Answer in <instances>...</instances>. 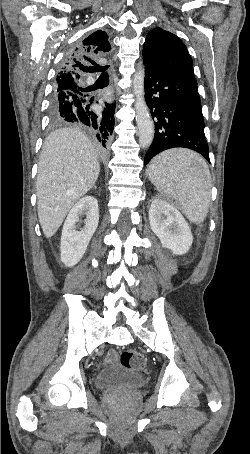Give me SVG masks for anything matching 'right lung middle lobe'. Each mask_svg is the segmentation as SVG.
Here are the masks:
<instances>
[{"mask_svg":"<svg viewBox=\"0 0 250 454\" xmlns=\"http://www.w3.org/2000/svg\"><path fill=\"white\" fill-rule=\"evenodd\" d=\"M81 91H82V88L79 87L78 84H76V83L67 84L65 86L56 85L51 102L55 101L58 97V94L61 92H66L68 95L71 96V98H74L71 93L77 94L79 96H83ZM50 116H51L52 123H54V124L64 123L60 118L54 116L52 111L50 113Z\"/></svg>","mask_w":250,"mask_h":454,"instance_id":"1","label":"right lung middle lobe"}]
</instances>
